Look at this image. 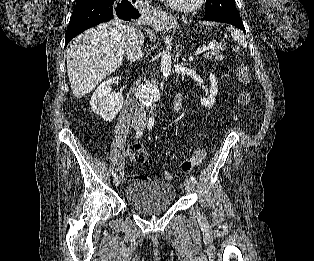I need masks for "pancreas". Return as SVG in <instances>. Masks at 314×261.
Here are the masks:
<instances>
[{
	"mask_svg": "<svg viewBox=\"0 0 314 261\" xmlns=\"http://www.w3.org/2000/svg\"><path fill=\"white\" fill-rule=\"evenodd\" d=\"M226 47V44L225 43H219L218 45H216V47L214 49H212V51L208 54L205 55V58L208 59V60H211L213 56H215V59H218L220 56H219V53L221 51H223Z\"/></svg>",
	"mask_w": 314,
	"mask_h": 261,
	"instance_id": "1",
	"label": "pancreas"
}]
</instances>
